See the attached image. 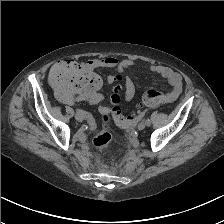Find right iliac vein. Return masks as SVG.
Wrapping results in <instances>:
<instances>
[{
    "instance_id": "1",
    "label": "right iliac vein",
    "mask_w": 224,
    "mask_h": 224,
    "mask_svg": "<svg viewBox=\"0 0 224 224\" xmlns=\"http://www.w3.org/2000/svg\"><path fill=\"white\" fill-rule=\"evenodd\" d=\"M75 119H76L78 122H82V121L84 120L83 116L80 115V114H78V113H76V115H75Z\"/></svg>"
}]
</instances>
